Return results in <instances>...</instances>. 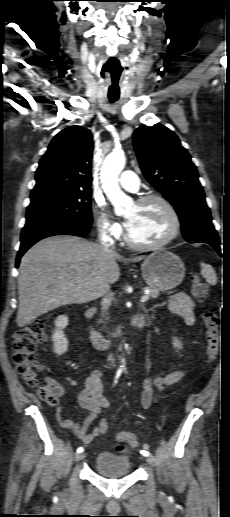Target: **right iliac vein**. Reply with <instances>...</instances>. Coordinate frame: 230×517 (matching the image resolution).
I'll return each instance as SVG.
<instances>
[{"label": "right iliac vein", "mask_w": 230, "mask_h": 517, "mask_svg": "<svg viewBox=\"0 0 230 517\" xmlns=\"http://www.w3.org/2000/svg\"><path fill=\"white\" fill-rule=\"evenodd\" d=\"M84 458H85V453L82 452V453H79L76 455L75 460L80 461V460H83Z\"/></svg>", "instance_id": "63e3f726"}]
</instances>
